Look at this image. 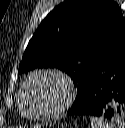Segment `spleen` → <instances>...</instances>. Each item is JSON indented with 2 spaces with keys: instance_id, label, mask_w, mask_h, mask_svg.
Wrapping results in <instances>:
<instances>
[{
  "instance_id": "3e777b00",
  "label": "spleen",
  "mask_w": 125,
  "mask_h": 128,
  "mask_svg": "<svg viewBox=\"0 0 125 128\" xmlns=\"http://www.w3.org/2000/svg\"><path fill=\"white\" fill-rule=\"evenodd\" d=\"M89 128H113V126L103 118L91 117Z\"/></svg>"
}]
</instances>
